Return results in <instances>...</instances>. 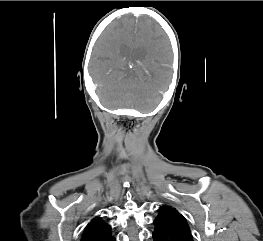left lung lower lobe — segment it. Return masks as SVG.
I'll return each instance as SVG.
<instances>
[{
    "instance_id": "obj_1",
    "label": "left lung lower lobe",
    "mask_w": 263,
    "mask_h": 241,
    "mask_svg": "<svg viewBox=\"0 0 263 241\" xmlns=\"http://www.w3.org/2000/svg\"><path fill=\"white\" fill-rule=\"evenodd\" d=\"M155 231L153 232L154 241H193L192 237L182 234L169 225L154 220Z\"/></svg>"
}]
</instances>
